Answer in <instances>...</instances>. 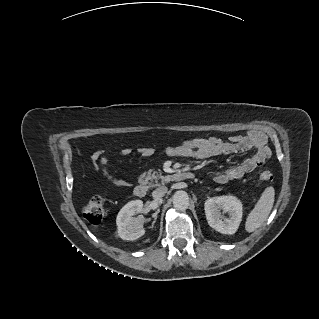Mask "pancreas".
I'll return each mask as SVG.
<instances>
[{"mask_svg": "<svg viewBox=\"0 0 319 319\" xmlns=\"http://www.w3.org/2000/svg\"><path fill=\"white\" fill-rule=\"evenodd\" d=\"M145 179H146L145 184H147L149 187H157L169 182V179L167 178V176H163L161 172H155V171L154 172L148 171L145 174Z\"/></svg>", "mask_w": 319, "mask_h": 319, "instance_id": "pancreas-1", "label": "pancreas"}]
</instances>
